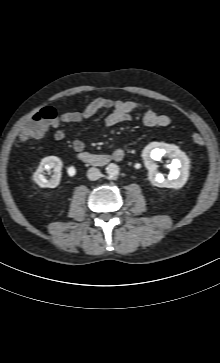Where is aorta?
<instances>
[{
	"instance_id": "762f6f07",
	"label": "aorta",
	"mask_w": 220,
	"mask_h": 363,
	"mask_svg": "<svg viewBox=\"0 0 220 363\" xmlns=\"http://www.w3.org/2000/svg\"><path fill=\"white\" fill-rule=\"evenodd\" d=\"M106 173L110 177H115L119 174V166L117 164L111 163L106 167Z\"/></svg>"
}]
</instances>
